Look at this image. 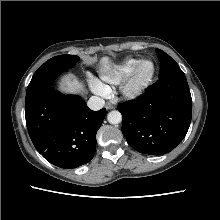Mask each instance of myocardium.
Listing matches in <instances>:
<instances>
[{
    "mask_svg": "<svg viewBox=\"0 0 220 220\" xmlns=\"http://www.w3.org/2000/svg\"><path fill=\"white\" fill-rule=\"evenodd\" d=\"M147 61L151 63V72L144 80L139 81L137 78L138 70L140 66ZM155 73L156 65L151 59L142 58L138 60L121 87V92L123 96L128 99H136L142 96L151 85Z\"/></svg>",
    "mask_w": 220,
    "mask_h": 220,
    "instance_id": "myocardium-1",
    "label": "myocardium"
}]
</instances>
